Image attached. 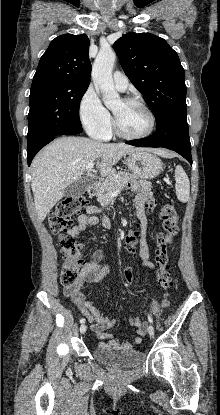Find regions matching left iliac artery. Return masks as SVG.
Masks as SVG:
<instances>
[{"label":"left iliac artery","mask_w":220,"mask_h":415,"mask_svg":"<svg viewBox=\"0 0 220 415\" xmlns=\"http://www.w3.org/2000/svg\"><path fill=\"white\" fill-rule=\"evenodd\" d=\"M148 321L152 324L153 323V319H152V317H151V315L150 314H148Z\"/></svg>","instance_id":"44dca946"}]
</instances>
